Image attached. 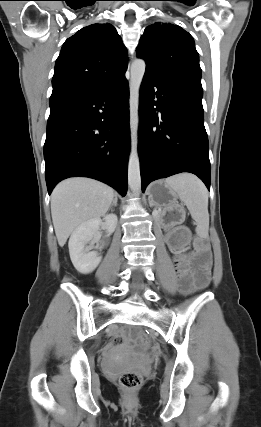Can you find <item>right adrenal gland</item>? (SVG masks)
Wrapping results in <instances>:
<instances>
[{"label":"right adrenal gland","mask_w":261,"mask_h":427,"mask_svg":"<svg viewBox=\"0 0 261 427\" xmlns=\"http://www.w3.org/2000/svg\"><path fill=\"white\" fill-rule=\"evenodd\" d=\"M113 206H115V207L117 206V197L116 196L113 199V202H112V204L110 206V209H112Z\"/></svg>","instance_id":"2a0ac1e0"}]
</instances>
